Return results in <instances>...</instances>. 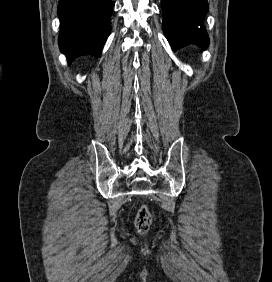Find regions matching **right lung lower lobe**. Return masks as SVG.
<instances>
[{
    "label": "right lung lower lobe",
    "instance_id": "98d812e1",
    "mask_svg": "<svg viewBox=\"0 0 272 282\" xmlns=\"http://www.w3.org/2000/svg\"><path fill=\"white\" fill-rule=\"evenodd\" d=\"M111 0H59V46L68 64L81 55L100 56L109 36Z\"/></svg>",
    "mask_w": 272,
    "mask_h": 282
}]
</instances>
